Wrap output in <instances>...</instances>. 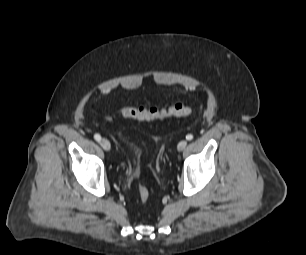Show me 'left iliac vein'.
Returning <instances> with one entry per match:
<instances>
[{
    "instance_id": "1",
    "label": "left iliac vein",
    "mask_w": 306,
    "mask_h": 255,
    "mask_svg": "<svg viewBox=\"0 0 306 255\" xmlns=\"http://www.w3.org/2000/svg\"><path fill=\"white\" fill-rule=\"evenodd\" d=\"M186 146H187V141H186V140H182V141H180V142L178 143V145H177V150H178L179 152H181V151H183V150L186 148Z\"/></svg>"
}]
</instances>
